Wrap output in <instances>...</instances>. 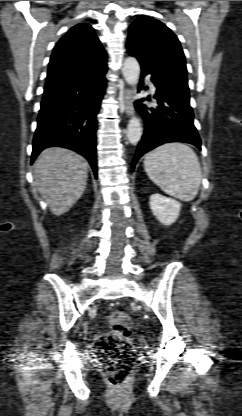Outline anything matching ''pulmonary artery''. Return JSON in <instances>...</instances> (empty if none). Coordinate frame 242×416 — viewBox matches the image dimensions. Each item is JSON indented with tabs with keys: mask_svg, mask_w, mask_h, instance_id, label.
<instances>
[{
	"mask_svg": "<svg viewBox=\"0 0 242 416\" xmlns=\"http://www.w3.org/2000/svg\"><path fill=\"white\" fill-rule=\"evenodd\" d=\"M150 88H151V91H155V87L152 83H150Z\"/></svg>",
	"mask_w": 242,
	"mask_h": 416,
	"instance_id": "e3ab8cb5",
	"label": "pulmonary artery"
}]
</instances>
